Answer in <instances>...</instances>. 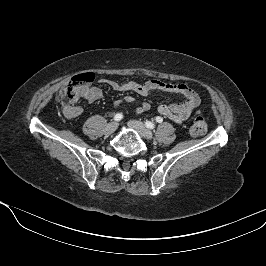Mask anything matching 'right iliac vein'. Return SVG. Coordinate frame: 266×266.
Wrapping results in <instances>:
<instances>
[{
  "mask_svg": "<svg viewBox=\"0 0 266 266\" xmlns=\"http://www.w3.org/2000/svg\"><path fill=\"white\" fill-rule=\"evenodd\" d=\"M117 123L116 122H111L109 124H107L106 128H105V133L106 134H112L116 131L117 129Z\"/></svg>",
  "mask_w": 266,
  "mask_h": 266,
  "instance_id": "obj_1",
  "label": "right iliac vein"
}]
</instances>
